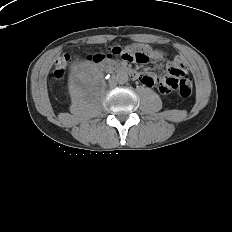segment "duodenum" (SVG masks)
Instances as JSON below:
<instances>
[{"label":"duodenum","instance_id":"duodenum-1","mask_svg":"<svg viewBox=\"0 0 232 232\" xmlns=\"http://www.w3.org/2000/svg\"><path fill=\"white\" fill-rule=\"evenodd\" d=\"M109 73L111 75H114V74H127L133 79H137L138 76H139V74L135 70H133V69H131V68L125 66V65L111 64L110 68H109Z\"/></svg>","mask_w":232,"mask_h":232}]
</instances>
